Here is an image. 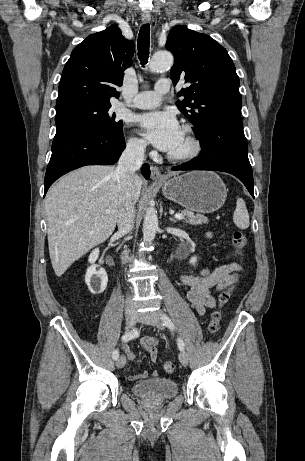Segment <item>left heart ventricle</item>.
I'll use <instances>...</instances> for the list:
<instances>
[{
	"mask_svg": "<svg viewBox=\"0 0 305 461\" xmlns=\"http://www.w3.org/2000/svg\"><path fill=\"white\" fill-rule=\"evenodd\" d=\"M190 148V143L186 134L181 131V136L175 147L169 152L171 154H182L188 151Z\"/></svg>",
	"mask_w": 305,
	"mask_h": 461,
	"instance_id": "b2bd125f",
	"label": "left heart ventricle"
}]
</instances>
